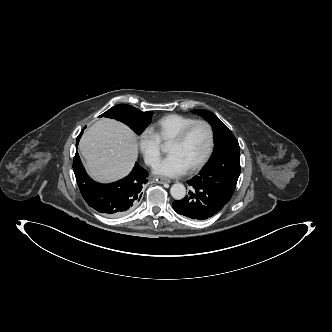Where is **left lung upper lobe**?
<instances>
[{
    "label": "left lung upper lobe",
    "instance_id": "5c2ea615",
    "mask_svg": "<svg viewBox=\"0 0 332 332\" xmlns=\"http://www.w3.org/2000/svg\"><path fill=\"white\" fill-rule=\"evenodd\" d=\"M193 113L201 115L213 127L216 148L211 160L197 177L209 188L231 199L240 174V147L233 133L208 110L196 109Z\"/></svg>",
    "mask_w": 332,
    "mask_h": 332
}]
</instances>
